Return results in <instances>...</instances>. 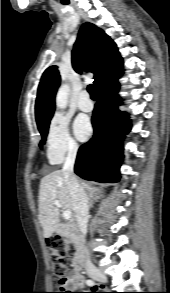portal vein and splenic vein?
<instances>
[{
  "label": "portal vein and splenic vein",
  "mask_w": 170,
  "mask_h": 293,
  "mask_svg": "<svg viewBox=\"0 0 170 293\" xmlns=\"http://www.w3.org/2000/svg\"><path fill=\"white\" fill-rule=\"evenodd\" d=\"M54 204L59 208L62 207L61 203L58 200H54ZM63 218L69 220L71 218V211H64Z\"/></svg>",
  "instance_id": "obj_1"
}]
</instances>
